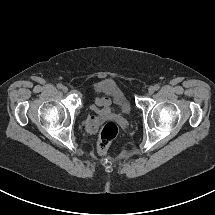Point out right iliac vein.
I'll use <instances>...</instances> for the list:
<instances>
[{
    "mask_svg": "<svg viewBox=\"0 0 215 215\" xmlns=\"http://www.w3.org/2000/svg\"><path fill=\"white\" fill-rule=\"evenodd\" d=\"M62 90H63L64 92H67V91H68V88H67L66 86H63V87H62Z\"/></svg>",
    "mask_w": 215,
    "mask_h": 215,
    "instance_id": "obj_1",
    "label": "right iliac vein"
}]
</instances>
